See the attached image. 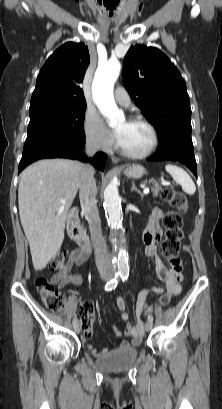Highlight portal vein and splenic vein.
Here are the masks:
<instances>
[{
	"mask_svg": "<svg viewBox=\"0 0 222 409\" xmlns=\"http://www.w3.org/2000/svg\"><path fill=\"white\" fill-rule=\"evenodd\" d=\"M143 192H144V194H148L149 193V188H144ZM61 202L65 203L64 200H62Z\"/></svg>",
	"mask_w": 222,
	"mask_h": 409,
	"instance_id": "portal-vein-and-splenic-vein-1",
	"label": "portal vein and splenic vein"
}]
</instances>
